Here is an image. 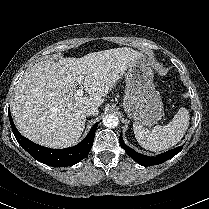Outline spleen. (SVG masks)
<instances>
[{
  "mask_svg": "<svg viewBox=\"0 0 209 209\" xmlns=\"http://www.w3.org/2000/svg\"><path fill=\"white\" fill-rule=\"evenodd\" d=\"M189 111L180 108L171 122L165 126H155L151 131L138 122L133 123L135 138L140 146L150 151H163L176 145L185 135L189 126Z\"/></svg>",
  "mask_w": 209,
  "mask_h": 209,
  "instance_id": "spleen-1",
  "label": "spleen"
}]
</instances>
